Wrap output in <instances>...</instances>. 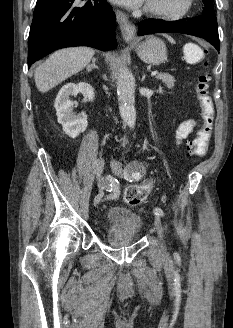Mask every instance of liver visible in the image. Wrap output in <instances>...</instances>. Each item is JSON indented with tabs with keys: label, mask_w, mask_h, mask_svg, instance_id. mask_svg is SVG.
<instances>
[{
	"label": "liver",
	"mask_w": 233,
	"mask_h": 328,
	"mask_svg": "<svg viewBox=\"0 0 233 328\" xmlns=\"http://www.w3.org/2000/svg\"><path fill=\"white\" fill-rule=\"evenodd\" d=\"M95 54L89 47H73L55 51L34 72L37 89L44 93L84 69Z\"/></svg>",
	"instance_id": "liver-1"
}]
</instances>
